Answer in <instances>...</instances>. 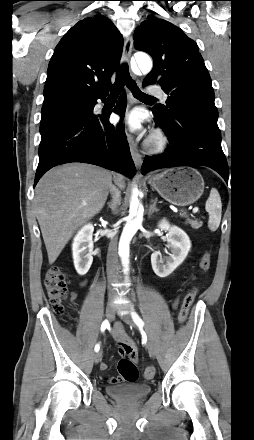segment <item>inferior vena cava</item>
<instances>
[{"mask_svg": "<svg viewBox=\"0 0 254 440\" xmlns=\"http://www.w3.org/2000/svg\"><path fill=\"white\" fill-rule=\"evenodd\" d=\"M110 193L112 195V202L115 201V210L117 205L120 203V191L114 186H110ZM118 270V255H117V239L115 237L111 238L108 254H107V275L108 279L111 280L116 277ZM111 293H114L111 290Z\"/></svg>", "mask_w": 254, "mask_h": 440, "instance_id": "602c4592", "label": "inferior vena cava"}]
</instances>
